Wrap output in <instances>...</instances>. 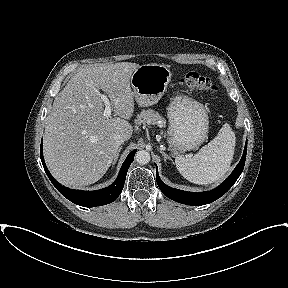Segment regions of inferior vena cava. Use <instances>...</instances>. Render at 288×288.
Segmentation results:
<instances>
[{"instance_id":"602c4592","label":"inferior vena cava","mask_w":288,"mask_h":288,"mask_svg":"<svg viewBox=\"0 0 288 288\" xmlns=\"http://www.w3.org/2000/svg\"><path fill=\"white\" fill-rule=\"evenodd\" d=\"M114 140L117 144H122L125 141V138L122 135H116L114 137Z\"/></svg>"}]
</instances>
